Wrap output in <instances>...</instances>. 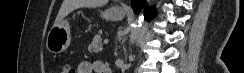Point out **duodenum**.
Segmentation results:
<instances>
[{
  "mask_svg": "<svg viewBox=\"0 0 244 73\" xmlns=\"http://www.w3.org/2000/svg\"><path fill=\"white\" fill-rule=\"evenodd\" d=\"M107 67H108V66H107ZM108 71H109V73H111V70H110V69H109Z\"/></svg>",
  "mask_w": 244,
  "mask_h": 73,
  "instance_id": "1",
  "label": "duodenum"
}]
</instances>
